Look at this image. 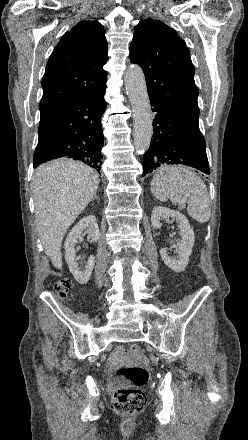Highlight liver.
<instances>
[{"instance_id": "liver-1", "label": "liver", "mask_w": 248, "mask_h": 440, "mask_svg": "<svg viewBox=\"0 0 248 440\" xmlns=\"http://www.w3.org/2000/svg\"><path fill=\"white\" fill-rule=\"evenodd\" d=\"M35 219L45 254L62 268L63 237L99 187L98 173L66 158L39 166L33 176Z\"/></svg>"}]
</instances>
